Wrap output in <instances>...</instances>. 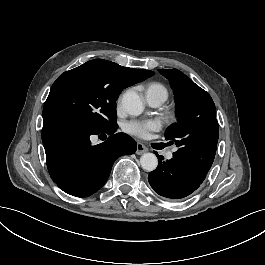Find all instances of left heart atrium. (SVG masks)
Wrapping results in <instances>:
<instances>
[{"label": "left heart atrium", "instance_id": "39dd6f15", "mask_svg": "<svg viewBox=\"0 0 265 265\" xmlns=\"http://www.w3.org/2000/svg\"><path fill=\"white\" fill-rule=\"evenodd\" d=\"M160 124L155 120L148 121H131L127 125V131L139 138L146 139L150 136V132L158 130Z\"/></svg>", "mask_w": 265, "mask_h": 265}]
</instances>
